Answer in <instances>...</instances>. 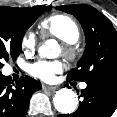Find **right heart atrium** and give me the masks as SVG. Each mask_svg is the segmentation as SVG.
I'll return each instance as SVG.
<instances>
[{
    "label": "right heart atrium",
    "instance_id": "right-heart-atrium-1",
    "mask_svg": "<svg viewBox=\"0 0 117 117\" xmlns=\"http://www.w3.org/2000/svg\"><path fill=\"white\" fill-rule=\"evenodd\" d=\"M21 46L26 51H33L36 47V37L32 31H27L21 38Z\"/></svg>",
    "mask_w": 117,
    "mask_h": 117
}]
</instances>
